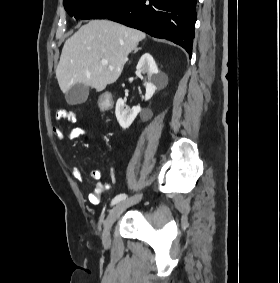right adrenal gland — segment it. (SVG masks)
Instances as JSON below:
<instances>
[{"label": "right adrenal gland", "instance_id": "right-adrenal-gland-1", "mask_svg": "<svg viewBox=\"0 0 280 283\" xmlns=\"http://www.w3.org/2000/svg\"><path fill=\"white\" fill-rule=\"evenodd\" d=\"M139 49H141V48H136V49L134 50V53H136Z\"/></svg>", "mask_w": 280, "mask_h": 283}]
</instances>
